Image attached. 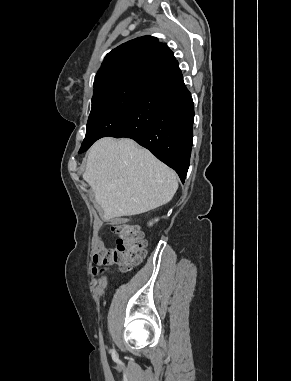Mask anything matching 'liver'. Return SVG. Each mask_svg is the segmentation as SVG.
<instances>
[{
    "label": "liver",
    "instance_id": "obj_1",
    "mask_svg": "<svg viewBox=\"0 0 291 381\" xmlns=\"http://www.w3.org/2000/svg\"><path fill=\"white\" fill-rule=\"evenodd\" d=\"M83 179L103 209V220L138 215L173 198L176 173L131 139L105 137L90 148Z\"/></svg>",
    "mask_w": 291,
    "mask_h": 381
}]
</instances>
